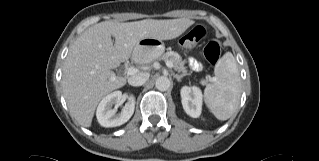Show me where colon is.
Wrapping results in <instances>:
<instances>
[{"mask_svg":"<svg viewBox=\"0 0 319 161\" xmlns=\"http://www.w3.org/2000/svg\"><path fill=\"white\" fill-rule=\"evenodd\" d=\"M204 36L205 29L202 26H195L181 37L180 47L185 50H189L196 46V44L203 39ZM203 56L205 60L212 65L218 63L221 57V48L219 43L215 40L208 41L203 49Z\"/></svg>","mask_w":319,"mask_h":161,"instance_id":"obj_1","label":"colon"}]
</instances>
